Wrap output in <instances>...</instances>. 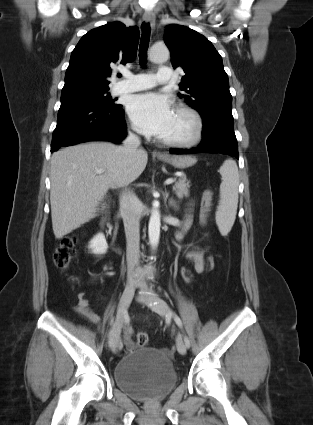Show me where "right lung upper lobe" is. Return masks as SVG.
Listing matches in <instances>:
<instances>
[{"label":"right lung upper lobe","mask_w":313,"mask_h":425,"mask_svg":"<svg viewBox=\"0 0 313 425\" xmlns=\"http://www.w3.org/2000/svg\"><path fill=\"white\" fill-rule=\"evenodd\" d=\"M139 30L110 22L86 33L72 51L62 94L83 89L109 88L112 66L134 61Z\"/></svg>","instance_id":"cb5924a9"}]
</instances>
